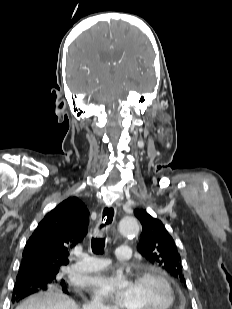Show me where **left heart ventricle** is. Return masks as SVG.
<instances>
[{
    "mask_svg": "<svg viewBox=\"0 0 232 309\" xmlns=\"http://www.w3.org/2000/svg\"><path fill=\"white\" fill-rule=\"evenodd\" d=\"M168 300L165 287L154 279L133 283L128 309H163Z\"/></svg>",
    "mask_w": 232,
    "mask_h": 309,
    "instance_id": "obj_1",
    "label": "left heart ventricle"
}]
</instances>
